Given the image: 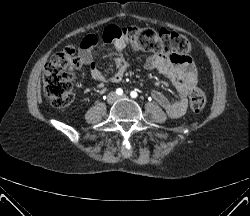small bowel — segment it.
<instances>
[{
	"mask_svg": "<svg viewBox=\"0 0 250 216\" xmlns=\"http://www.w3.org/2000/svg\"><path fill=\"white\" fill-rule=\"evenodd\" d=\"M98 39L95 35H88L81 44L79 55L82 62L89 66L91 78L103 84L119 83L128 67L127 60L123 57V52L127 47L125 40H116L114 47L119 57L115 60L116 72L112 77H106L96 66L95 56L97 54ZM133 50L138 48L132 45ZM147 70H156L174 85L177 92V99L170 100L160 91H153L152 96L155 101L166 111L172 119H178L184 115L188 106V95L197 83V73L192 59L181 55H150L144 64Z\"/></svg>",
	"mask_w": 250,
	"mask_h": 216,
	"instance_id": "obj_1",
	"label": "small bowel"
}]
</instances>
